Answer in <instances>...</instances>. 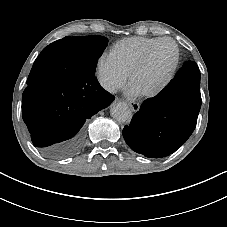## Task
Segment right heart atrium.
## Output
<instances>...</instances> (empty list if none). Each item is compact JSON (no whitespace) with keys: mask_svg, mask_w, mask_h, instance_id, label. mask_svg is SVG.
<instances>
[{"mask_svg":"<svg viewBox=\"0 0 227 227\" xmlns=\"http://www.w3.org/2000/svg\"><path fill=\"white\" fill-rule=\"evenodd\" d=\"M96 78L99 86L114 94L126 83V72L110 57L101 55L96 64Z\"/></svg>","mask_w":227,"mask_h":227,"instance_id":"right-heart-atrium-1","label":"right heart atrium"}]
</instances>
